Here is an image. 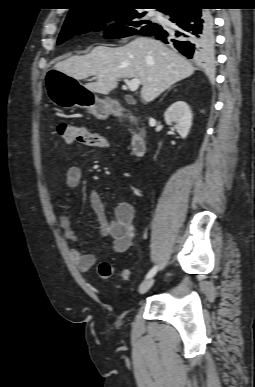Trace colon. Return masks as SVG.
<instances>
[{
	"instance_id": "1",
	"label": "colon",
	"mask_w": 255,
	"mask_h": 387,
	"mask_svg": "<svg viewBox=\"0 0 255 387\" xmlns=\"http://www.w3.org/2000/svg\"><path fill=\"white\" fill-rule=\"evenodd\" d=\"M57 133L67 144L78 142L89 147L104 148L109 146V141L104 135L91 132L77 124L60 123L57 126ZM97 273L103 279H110L114 275V268L110 263L103 261L97 265ZM120 275L123 280L131 279V272L128 269L122 270Z\"/></svg>"
}]
</instances>
